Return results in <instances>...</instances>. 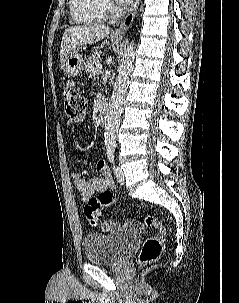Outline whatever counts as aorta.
Wrapping results in <instances>:
<instances>
[{
  "label": "aorta",
  "mask_w": 239,
  "mask_h": 303,
  "mask_svg": "<svg viewBox=\"0 0 239 303\" xmlns=\"http://www.w3.org/2000/svg\"><path fill=\"white\" fill-rule=\"evenodd\" d=\"M135 44L132 42L125 50L118 69V77L114 84L113 92L109 101L107 114L105 117L106 142L113 143L120 125V118L123 112L126 91L129 86L130 76L133 70Z\"/></svg>",
  "instance_id": "obj_1"
}]
</instances>
